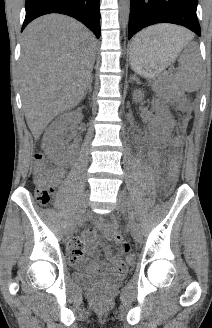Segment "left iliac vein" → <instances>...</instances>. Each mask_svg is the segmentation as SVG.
Masks as SVG:
<instances>
[{"instance_id": "1", "label": "left iliac vein", "mask_w": 212, "mask_h": 328, "mask_svg": "<svg viewBox=\"0 0 212 328\" xmlns=\"http://www.w3.org/2000/svg\"><path fill=\"white\" fill-rule=\"evenodd\" d=\"M116 209L118 212L128 217L132 236L136 242H139L141 240V232L139 225L129 213L124 193L121 191L118 194Z\"/></svg>"}]
</instances>
